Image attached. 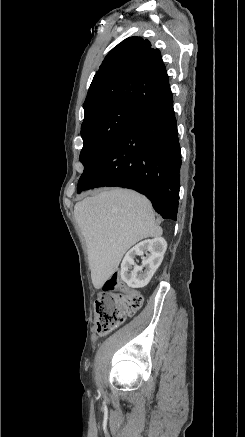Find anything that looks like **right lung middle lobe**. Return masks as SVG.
<instances>
[{
	"mask_svg": "<svg viewBox=\"0 0 245 437\" xmlns=\"http://www.w3.org/2000/svg\"><path fill=\"white\" fill-rule=\"evenodd\" d=\"M138 109L139 106L135 104L114 102L99 106L84 116L81 126L83 148L80 153L84 171L78 181L77 191L81 182L112 148Z\"/></svg>",
	"mask_w": 245,
	"mask_h": 437,
	"instance_id": "1",
	"label": "right lung middle lobe"
}]
</instances>
